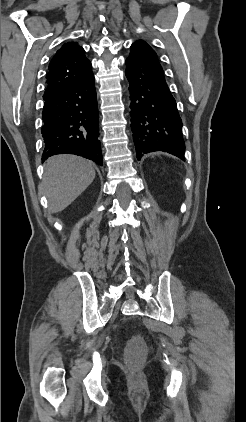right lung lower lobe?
Segmentation results:
<instances>
[{
  "label": "right lung lower lobe",
  "instance_id": "right-lung-lower-lobe-1",
  "mask_svg": "<svg viewBox=\"0 0 246 422\" xmlns=\"http://www.w3.org/2000/svg\"><path fill=\"white\" fill-rule=\"evenodd\" d=\"M42 161L56 154H76L102 165L99 115L93 74L81 83L44 98Z\"/></svg>",
  "mask_w": 246,
  "mask_h": 422
}]
</instances>
